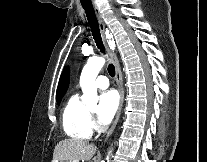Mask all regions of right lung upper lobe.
I'll list each match as a JSON object with an SVG mask.
<instances>
[{"mask_svg":"<svg viewBox=\"0 0 207 162\" xmlns=\"http://www.w3.org/2000/svg\"><path fill=\"white\" fill-rule=\"evenodd\" d=\"M68 87V73L67 71H65L60 79L59 85H58V89H57V93H56V99H61L62 96L65 94L66 90Z\"/></svg>","mask_w":207,"mask_h":162,"instance_id":"1","label":"right lung upper lobe"}]
</instances>
